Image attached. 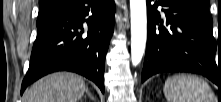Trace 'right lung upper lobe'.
<instances>
[{
	"mask_svg": "<svg viewBox=\"0 0 221 102\" xmlns=\"http://www.w3.org/2000/svg\"><path fill=\"white\" fill-rule=\"evenodd\" d=\"M71 0H41L40 1V9H47V8H61Z\"/></svg>",
	"mask_w": 221,
	"mask_h": 102,
	"instance_id": "1",
	"label": "right lung upper lobe"
}]
</instances>
